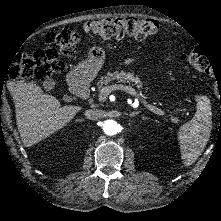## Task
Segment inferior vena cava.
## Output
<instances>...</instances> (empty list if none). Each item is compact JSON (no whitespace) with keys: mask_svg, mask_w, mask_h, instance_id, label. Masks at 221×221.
<instances>
[{"mask_svg":"<svg viewBox=\"0 0 221 221\" xmlns=\"http://www.w3.org/2000/svg\"><path fill=\"white\" fill-rule=\"evenodd\" d=\"M84 115L90 120H98L104 117V111L100 109H87Z\"/></svg>","mask_w":221,"mask_h":221,"instance_id":"inferior-vena-cava-1","label":"inferior vena cava"}]
</instances>
